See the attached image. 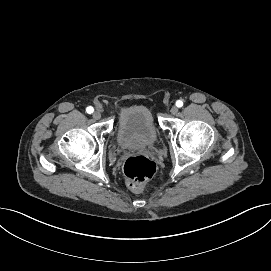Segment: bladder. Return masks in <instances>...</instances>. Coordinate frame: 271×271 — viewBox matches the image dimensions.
I'll use <instances>...</instances> for the list:
<instances>
[{
  "label": "bladder",
  "instance_id": "bladder-1",
  "mask_svg": "<svg viewBox=\"0 0 271 271\" xmlns=\"http://www.w3.org/2000/svg\"><path fill=\"white\" fill-rule=\"evenodd\" d=\"M114 134L117 142L128 149L138 143L151 145L157 138L158 130L148 107L137 104L120 114Z\"/></svg>",
  "mask_w": 271,
  "mask_h": 271
}]
</instances>
